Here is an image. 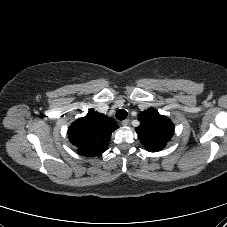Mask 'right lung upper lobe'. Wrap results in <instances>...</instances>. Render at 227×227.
<instances>
[{"mask_svg": "<svg viewBox=\"0 0 227 227\" xmlns=\"http://www.w3.org/2000/svg\"><path fill=\"white\" fill-rule=\"evenodd\" d=\"M117 128L113 118L90 110L69 127L68 135L80 155L94 157L107 149L111 134Z\"/></svg>", "mask_w": 227, "mask_h": 227, "instance_id": "right-lung-upper-lobe-1", "label": "right lung upper lobe"}]
</instances>
